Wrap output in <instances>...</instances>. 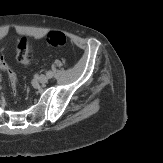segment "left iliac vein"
<instances>
[{
    "mask_svg": "<svg viewBox=\"0 0 163 163\" xmlns=\"http://www.w3.org/2000/svg\"><path fill=\"white\" fill-rule=\"evenodd\" d=\"M38 81L42 84H46L48 82V77L46 75H40Z\"/></svg>",
    "mask_w": 163,
    "mask_h": 163,
    "instance_id": "4c4485c4",
    "label": "left iliac vein"
}]
</instances>
